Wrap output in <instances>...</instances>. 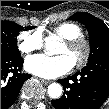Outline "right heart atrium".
I'll return each mask as SVG.
<instances>
[{"instance_id": "right-heart-atrium-1", "label": "right heart atrium", "mask_w": 109, "mask_h": 109, "mask_svg": "<svg viewBox=\"0 0 109 109\" xmlns=\"http://www.w3.org/2000/svg\"><path fill=\"white\" fill-rule=\"evenodd\" d=\"M17 41L20 52L29 54L41 49L43 45V35L39 30L24 31L18 35Z\"/></svg>"}]
</instances>
